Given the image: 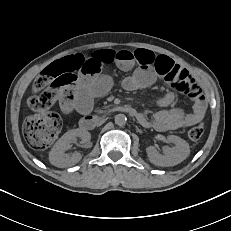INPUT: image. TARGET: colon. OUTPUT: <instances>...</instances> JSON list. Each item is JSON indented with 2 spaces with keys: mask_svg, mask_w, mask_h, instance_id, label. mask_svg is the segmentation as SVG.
Returning a JSON list of instances; mask_svg holds the SVG:
<instances>
[{
  "mask_svg": "<svg viewBox=\"0 0 231 231\" xmlns=\"http://www.w3.org/2000/svg\"><path fill=\"white\" fill-rule=\"evenodd\" d=\"M74 81V73L69 65L62 61L52 63L36 78L28 104L32 110L39 113L29 116L24 124L25 139L33 149H46L57 138L61 130V119L47 110L61 99L72 98ZM169 82L190 99L202 97L200 87L187 72L172 74ZM203 134L204 128L201 125L193 126L187 131V136L192 141H198Z\"/></svg>",
  "mask_w": 231,
  "mask_h": 231,
  "instance_id": "1",
  "label": "colon"
}]
</instances>
